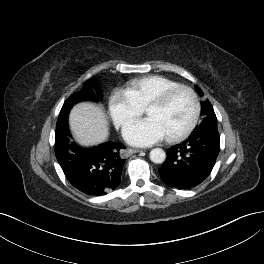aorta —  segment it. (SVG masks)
Listing matches in <instances>:
<instances>
[{
  "label": "aorta",
  "instance_id": "obj_1",
  "mask_svg": "<svg viewBox=\"0 0 264 264\" xmlns=\"http://www.w3.org/2000/svg\"><path fill=\"white\" fill-rule=\"evenodd\" d=\"M166 159V153L161 148H154L150 151V160L153 163L160 164L163 163Z\"/></svg>",
  "mask_w": 264,
  "mask_h": 264
}]
</instances>
